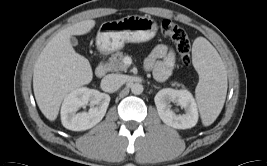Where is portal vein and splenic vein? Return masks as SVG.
Returning a JSON list of instances; mask_svg holds the SVG:
<instances>
[{
    "label": "portal vein and splenic vein",
    "mask_w": 267,
    "mask_h": 166,
    "mask_svg": "<svg viewBox=\"0 0 267 166\" xmlns=\"http://www.w3.org/2000/svg\"><path fill=\"white\" fill-rule=\"evenodd\" d=\"M124 62L130 64V63H131V59H130L129 57H126V58L124 59Z\"/></svg>",
    "instance_id": "18ae733b"
}]
</instances>
